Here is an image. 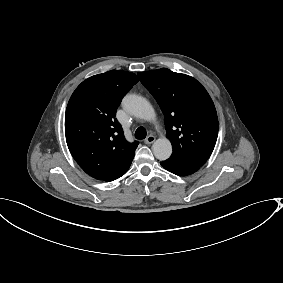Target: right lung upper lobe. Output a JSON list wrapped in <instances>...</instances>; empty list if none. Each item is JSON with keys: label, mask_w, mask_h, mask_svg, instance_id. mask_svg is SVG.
<instances>
[{"label": "right lung upper lobe", "mask_w": 283, "mask_h": 283, "mask_svg": "<svg viewBox=\"0 0 283 283\" xmlns=\"http://www.w3.org/2000/svg\"><path fill=\"white\" fill-rule=\"evenodd\" d=\"M138 81L134 73L121 70L94 75L76 88L68 102V148L80 167L95 179H118L132 163L138 142L126 141L115 116L123 96Z\"/></svg>", "instance_id": "obj_1"}]
</instances>
